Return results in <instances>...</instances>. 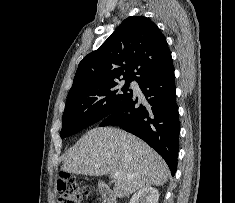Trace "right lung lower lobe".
<instances>
[{"mask_svg": "<svg viewBox=\"0 0 235 203\" xmlns=\"http://www.w3.org/2000/svg\"><path fill=\"white\" fill-rule=\"evenodd\" d=\"M147 104L138 105L133 95L99 126H120L155 149L168 164L172 176L177 169L179 114L172 62L139 81Z\"/></svg>", "mask_w": 235, "mask_h": 203, "instance_id": "1", "label": "right lung lower lobe"}]
</instances>
